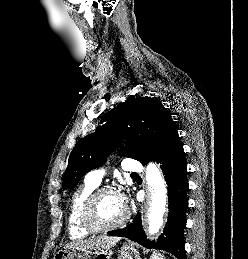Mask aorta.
Listing matches in <instances>:
<instances>
[{
    "label": "aorta",
    "mask_w": 248,
    "mask_h": 259,
    "mask_svg": "<svg viewBox=\"0 0 248 259\" xmlns=\"http://www.w3.org/2000/svg\"><path fill=\"white\" fill-rule=\"evenodd\" d=\"M147 181L151 186V203L148 210V231L156 234L163 225L167 206V188L161 172L155 164L148 168Z\"/></svg>",
    "instance_id": "1"
}]
</instances>
